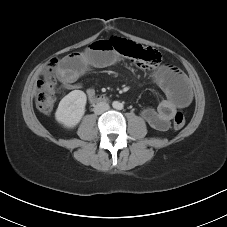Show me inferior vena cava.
<instances>
[{"label": "inferior vena cava", "instance_id": "602c4592", "mask_svg": "<svg viewBox=\"0 0 227 227\" xmlns=\"http://www.w3.org/2000/svg\"><path fill=\"white\" fill-rule=\"evenodd\" d=\"M110 106L105 102H100L94 107L95 114H102L105 111L109 110Z\"/></svg>", "mask_w": 227, "mask_h": 227}]
</instances>
